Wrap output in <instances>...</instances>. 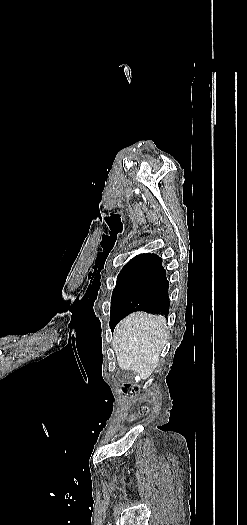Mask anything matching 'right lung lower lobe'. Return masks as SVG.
Masks as SVG:
<instances>
[{
  "mask_svg": "<svg viewBox=\"0 0 247 525\" xmlns=\"http://www.w3.org/2000/svg\"><path fill=\"white\" fill-rule=\"evenodd\" d=\"M168 288L166 271L162 267L161 258L157 257L148 272L124 301L120 309V316L110 326L111 329L113 330L121 319L134 311L142 310L167 316L170 305Z\"/></svg>",
  "mask_w": 247,
  "mask_h": 525,
  "instance_id": "obj_1",
  "label": "right lung lower lobe"
}]
</instances>
